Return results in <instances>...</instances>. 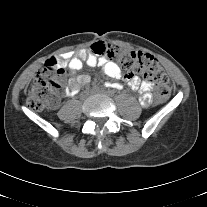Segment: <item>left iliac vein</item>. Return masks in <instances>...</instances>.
I'll return each mask as SVG.
<instances>
[{"label": "left iliac vein", "mask_w": 207, "mask_h": 207, "mask_svg": "<svg viewBox=\"0 0 207 207\" xmlns=\"http://www.w3.org/2000/svg\"><path fill=\"white\" fill-rule=\"evenodd\" d=\"M95 92L107 93L108 95H113V94H114V92H113V91H108V92H105L104 90H96V91H94V93H95Z\"/></svg>", "instance_id": "1"}]
</instances>
